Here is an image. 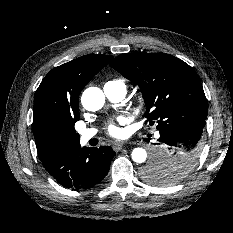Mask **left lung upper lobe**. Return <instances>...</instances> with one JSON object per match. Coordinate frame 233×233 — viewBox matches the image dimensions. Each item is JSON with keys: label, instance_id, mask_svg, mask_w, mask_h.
<instances>
[{"label": "left lung upper lobe", "instance_id": "1", "mask_svg": "<svg viewBox=\"0 0 233 233\" xmlns=\"http://www.w3.org/2000/svg\"><path fill=\"white\" fill-rule=\"evenodd\" d=\"M141 89L149 123L161 129L175 122L204 123L207 102L195 70L184 61L166 53H126L110 64ZM197 160L181 158L174 166L151 161L142 177L152 183L172 185L184 179Z\"/></svg>", "mask_w": 233, "mask_h": 233}]
</instances>
